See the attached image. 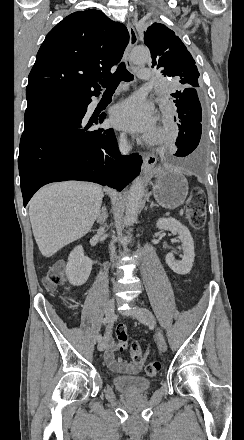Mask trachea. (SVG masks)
I'll list each match as a JSON object with an SVG mask.
<instances>
[{"instance_id": "trachea-1", "label": "trachea", "mask_w": 244, "mask_h": 440, "mask_svg": "<svg viewBox=\"0 0 244 440\" xmlns=\"http://www.w3.org/2000/svg\"><path fill=\"white\" fill-rule=\"evenodd\" d=\"M133 79V75L128 72L125 67V64L122 63L118 66L116 72L112 77L106 78L105 80H100V84L106 88L107 92L115 91L118 87L119 83L130 82Z\"/></svg>"}]
</instances>
